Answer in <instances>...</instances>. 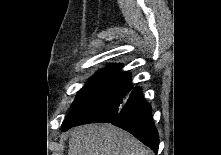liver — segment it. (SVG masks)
<instances>
[{
  "mask_svg": "<svg viewBox=\"0 0 221 155\" xmlns=\"http://www.w3.org/2000/svg\"><path fill=\"white\" fill-rule=\"evenodd\" d=\"M68 155H153L140 141L112 124L76 128L69 140Z\"/></svg>",
  "mask_w": 221,
  "mask_h": 155,
  "instance_id": "liver-1",
  "label": "liver"
}]
</instances>
